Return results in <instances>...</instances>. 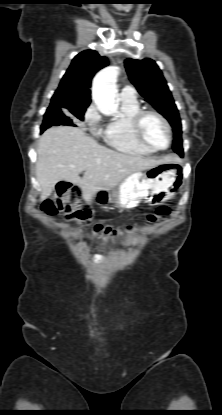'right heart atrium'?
<instances>
[{
	"label": "right heart atrium",
	"mask_w": 222,
	"mask_h": 415,
	"mask_svg": "<svg viewBox=\"0 0 222 415\" xmlns=\"http://www.w3.org/2000/svg\"><path fill=\"white\" fill-rule=\"evenodd\" d=\"M102 117L95 104L89 105L83 113L84 124L92 131H97Z\"/></svg>",
	"instance_id": "1"
}]
</instances>
